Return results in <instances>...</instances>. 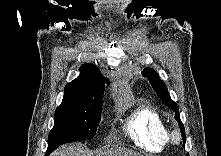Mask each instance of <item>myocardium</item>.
I'll return each instance as SVG.
<instances>
[{
	"label": "myocardium",
	"mask_w": 221,
	"mask_h": 156,
	"mask_svg": "<svg viewBox=\"0 0 221 156\" xmlns=\"http://www.w3.org/2000/svg\"><path fill=\"white\" fill-rule=\"evenodd\" d=\"M182 138V133L179 129H174L171 133H170V140L172 142H179Z\"/></svg>",
	"instance_id": "myocardium-1"
}]
</instances>
